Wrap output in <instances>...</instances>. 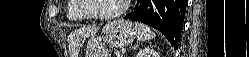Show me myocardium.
<instances>
[{"instance_id":"myocardium-1","label":"myocardium","mask_w":249,"mask_h":57,"mask_svg":"<svg viewBox=\"0 0 249 57\" xmlns=\"http://www.w3.org/2000/svg\"><path fill=\"white\" fill-rule=\"evenodd\" d=\"M89 2L90 0H79L78 8L83 15H85L87 18L95 20H113L119 18L121 15H123L126 12L130 1L124 0L121 8L118 11L110 14L91 13L89 11Z\"/></svg>"}]
</instances>
